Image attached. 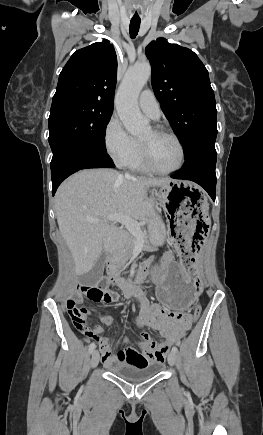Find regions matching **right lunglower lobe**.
I'll return each instance as SVG.
<instances>
[{"label": "right lung lower lobe", "instance_id": "1", "mask_svg": "<svg viewBox=\"0 0 263 435\" xmlns=\"http://www.w3.org/2000/svg\"><path fill=\"white\" fill-rule=\"evenodd\" d=\"M50 166L54 195L64 179L81 169L107 168L115 165L106 151L78 144H67L53 156Z\"/></svg>", "mask_w": 263, "mask_h": 435}]
</instances>
